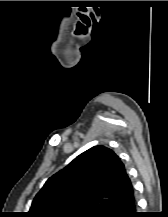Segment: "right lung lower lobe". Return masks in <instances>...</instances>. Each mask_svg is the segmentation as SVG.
Listing matches in <instances>:
<instances>
[{"instance_id":"right-lung-lower-lobe-1","label":"right lung lower lobe","mask_w":168,"mask_h":217,"mask_svg":"<svg viewBox=\"0 0 168 217\" xmlns=\"http://www.w3.org/2000/svg\"><path fill=\"white\" fill-rule=\"evenodd\" d=\"M137 202L133 195L127 200L113 206L100 217H142L141 213L136 211Z\"/></svg>"}]
</instances>
